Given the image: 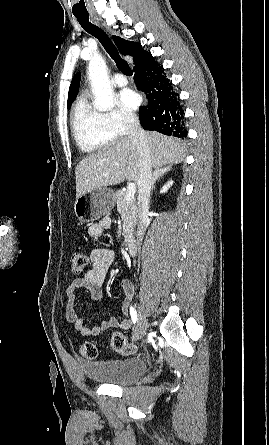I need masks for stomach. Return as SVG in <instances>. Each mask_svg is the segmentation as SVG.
<instances>
[{"label": "stomach", "instance_id": "obj_1", "mask_svg": "<svg viewBox=\"0 0 269 445\" xmlns=\"http://www.w3.org/2000/svg\"><path fill=\"white\" fill-rule=\"evenodd\" d=\"M115 193L106 187L98 188L76 199L74 211L76 217L85 223H92L105 217L114 208Z\"/></svg>", "mask_w": 269, "mask_h": 445}]
</instances>
